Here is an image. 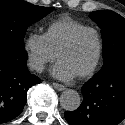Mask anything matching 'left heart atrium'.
Wrapping results in <instances>:
<instances>
[{
    "mask_svg": "<svg viewBox=\"0 0 125 125\" xmlns=\"http://www.w3.org/2000/svg\"><path fill=\"white\" fill-rule=\"evenodd\" d=\"M51 74L64 81L71 80L75 77L74 73L68 68V66L60 60L53 66Z\"/></svg>",
    "mask_w": 125,
    "mask_h": 125,
    "instance_id": "obj_1",
    "label": "left heart atrium"
}]
</instances>
